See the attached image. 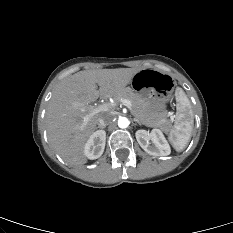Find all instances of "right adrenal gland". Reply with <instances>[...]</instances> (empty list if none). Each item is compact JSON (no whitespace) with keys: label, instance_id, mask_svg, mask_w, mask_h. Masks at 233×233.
Returning <instances> with one entry per match:
<instances>
[{"label":"right adrenal gland","instance_id":"right-adrenal-gland-1","mask_svg":"<svg viewBox=\"0 0 233 233\" xmlns=\"http://www.w3.org/2000/svg\"><path fill=\"white\" fill-rule=\"evenodd\" d=\"M97 128H99V129H104L105 127H102V126H98Z\"/></svg>","mask_w":233,"mask_h":233}]
</instances>
